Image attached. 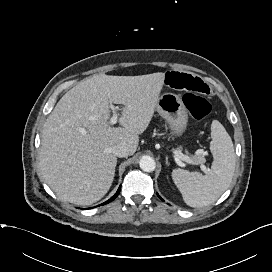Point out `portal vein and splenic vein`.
I'll list each match as a JSON object with an SVG mask.
<instances>
[{
    "mask_svg": "<svg viewBox=\"0 0 272 272\" xmlns=\"http://www.w3.org/2000/svg\"><path fill=\"white\" fill-rule=\"evenodd\" d=\"M110 108L113 110V116L112 118L110 119L109 123L111 125L113 124H116L117 123V120H118V114H117V110L119 109L118 106H113V105H110ZM179 159H181L182 161H185L186 163H189V164H194V162L190 159L189 156L187 155H184L183 153H181L180 151H177L175 150L173 152ZM200 168L202 170V172L206 173L208 171V169L206 168V166L202 163H200Z\"/></svg>",
    "mask_w": 272,
    "mask_h": 272,
    "instance_id": "obj_1",
    "label": "portal vein and splenic vein"
}]
</instances>
